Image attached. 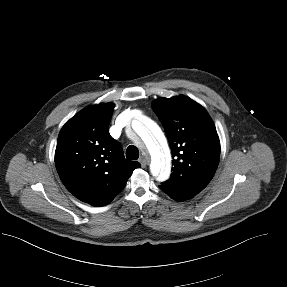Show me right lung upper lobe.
<instances>
[{
    "instance_id": "1",
    "label": "right lung upper lobe",
    "mask_w": 287,
    "mask_h": 287,
    "mask_svg": "<svg viewBox=\"0 0 287 287\" xmlns=\"http://www.w3.org/2000/svg\"><path fill=\"white\" fill-rule=\"evenodd\" d=\"M113 110L110 103L81 110L62 127L57 140L55 165L61 181L92 206L109 204L140 167L124 158L121 145L109 134Z\"/></svg>"
}]
</instances>
